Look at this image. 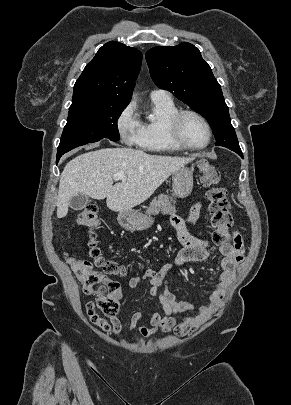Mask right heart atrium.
<instances>
[{
  "instance_id": "1",
  "label": "right heart atrium",
  "mask_w": 291,
  "mask_h": 405,
  "mask_svg": "<svg viewBox=\"0 0 291 405\" xmlns=\"http://www.w3.org/2000/svg\"><path fill=\"white\" fill-rule=\"evenodd\" d=\"M117 131L127 145H136L139 141L141 122L132 103L126 105L116 119Z\"/></svg>"
}]
</instances>
